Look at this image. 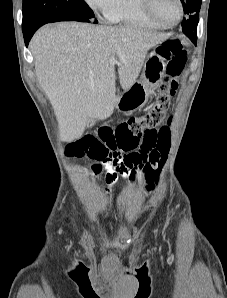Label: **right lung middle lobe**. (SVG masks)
<instances>
[{
	"label": "right lung middle lobe",
	"mask_w": 227,
	"mask_h": 298,
	"mask_svg": "<svg viewBox=\"0 0 227 298\" xmlns=\"http://www.w3.org/2000/svg\"><path fill=\"white\" fill-rule=\"evenodd\" d=\"M93 17V11L84 0H23L22 30L27 32L57 21L90 22Z\"/></svg>",
	"instance_id": "dd1d6c3e"
}]
</instances>
